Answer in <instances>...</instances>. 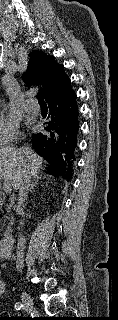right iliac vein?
Listing matches in <instances>:
<instances>
[{"label": "right iliac vein", "instance_id": "right-iliac-vein-1", "mask_svg": "<svg viewBox=\"0 0 118 320\" xmlns=\"http://www.w3.org/2000/svg\"><path fill=\"white\" fill-rule=\"evenodd\" d=\"M22 302L25 306V308L27 310H32L34 308V302H33V299L31 298V296L26 292V291H23L22 292Z\"/></svg>", "mask_w": 118, "mask_h": 320}]
</instances>
